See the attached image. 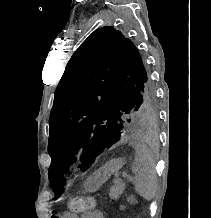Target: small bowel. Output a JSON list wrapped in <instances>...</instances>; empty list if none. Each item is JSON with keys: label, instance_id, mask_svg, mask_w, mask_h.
<instances>
[{"label": "small bowel", "instance_id": "1", "mask_svg": "<svg viewBox=\"0 0 211 218\" xmlns=\"http://www.w3.org/2000/svg\"><path fill=\"white\" fill-rule=\"evenodd\" d=\"M82 218H103V214L95 209H91L86 211L83 215Z\"/></svg>", "mask_w": 211, "mask_h": 218}]
</instances>
